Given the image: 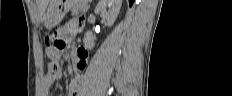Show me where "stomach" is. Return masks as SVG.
Masks as SVG:
<instances>
[{
    "label": "stomach",
    "instance_id": "obj_1",
    "mask_svg": "<svg viewBox=\"0 0 232 96\" xmlns=\"http://www.w3.org/2000/svg\"><path fill=\"white\" fill-rule=\"evenodd\" d=\"M73 4L74 0H52L44 15L45 27L52 29L57 26Z\"/></svg>",
    "mask_w": 232,
    "mask_h": 96
}]
</instances>
